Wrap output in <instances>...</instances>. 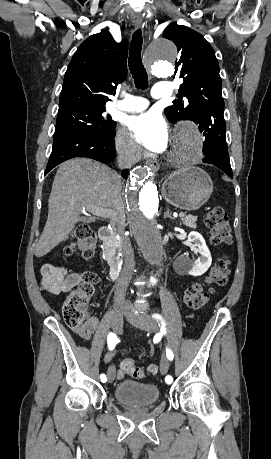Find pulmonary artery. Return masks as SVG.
<instances>
[{
	"mask_svg": "<svg viewBox=\"0 0 271 459\" xmlns=\"http://www.w3.org/2000/svg\"><path fill=\"white\" fill-rule=\"evenodd\" d=\"M154 87L152 92L154 98H165L167 96V84L164 81H157ZM151 106V98L127 95L125 99L114 104L113 111L118 113H138Z\"/></svg>",
	"mask_w": 271,
	"mask_h": 459,
	"instance_id": "pulmonary-artery-1",
	"label": "pulmonary artery"
}]
</instances>
